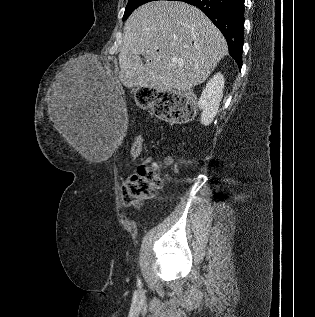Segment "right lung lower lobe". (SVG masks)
Returning <instances> with one entry per match:
<instances>
[{
  "label": "right lung lower lobe",
  "instance_id": "1",
  "mask_svg": "<svg viewBox=\"0 0 315 317\" xmlns=\"http://www.w3.org/2000/svg\"><path fill=\"white\" fill-rule=\"evenodd\" d=\"M196 6L222 32L229 54L242 66L244 36V0H177Z\"/></svg>",
  "mask_w": 315,
  "mask_h": 317
}]
</instances>
